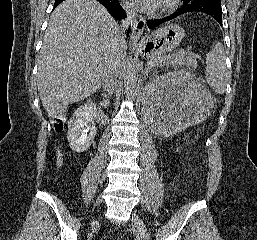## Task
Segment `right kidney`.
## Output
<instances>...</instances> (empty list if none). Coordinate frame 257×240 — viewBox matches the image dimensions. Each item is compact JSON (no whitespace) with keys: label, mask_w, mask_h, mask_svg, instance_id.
I'll return each instance as SVG.
<instances>
[{"label":"right kidney","mask_w":257,"mask_h":240,"mask_svg":"<svg viewBox=\"0 0 257 240\" xmlns=\"http://www.w3.org/2000/svg\"><path fill=\"white\" fill-rule=\"evenodd\" d=\"M107 107L108 101L100 103ZM96 107L93 104H85L79 107L68 123L67 139L72 150L83 152L87 150L96 135V128L93 124Z\"/></svg>","instance_id":"obj_1"}]
</instances>
